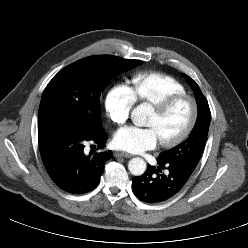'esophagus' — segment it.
Wrapping results in <instances>:
<instances>
[{
	"mask_svg": "<svg viewBox=\"0 0 248 248\" xmlns=\"http://www.w3.org/2000/svg\"><path fill=\"white\" fill-rule=\"evenodd\" d=\"M114 157L130 158V157H132V155L129 153H126V152H115Z\"/></svg>",
	"mask_w": 248,
	"mask_h": 248,
	"instance_id": "34e87169",
	"label": "esophagus"
}]
</instances>
